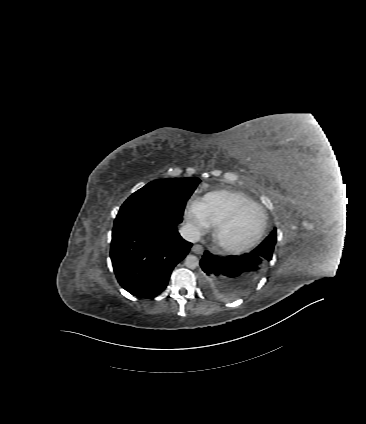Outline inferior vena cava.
Here are the masks:
<instances>
[{"mask_svg": "<svg viewBox=\"0 0 366 424\" xmlns=\"http://www.w3.org/2000/svg\"><path fill=\"white\" fill-rule=\"evenodd\" d=\"M179 233L186 241L195 243L200 240V232L193 224L187 223L179 229Z\"/></svg>", "mask_w": 366, "mask_h": 424, "instance_id": "obj_1", "label": "inferior vena cava"}]
</instances>
